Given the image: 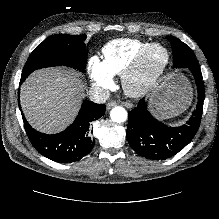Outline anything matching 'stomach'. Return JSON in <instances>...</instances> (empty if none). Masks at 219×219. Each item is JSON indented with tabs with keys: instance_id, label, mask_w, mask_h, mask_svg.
Masks as SVG:
<instances>
[{
	"instance_id": "stomach-1",
	"label": "stomach",
	"mask_w": 219,
	"mask_h": 219,
	"mask_svg": "<svg viewBox=\"0 0 219 219\" xmlns=\"http://www.w3.org/2000/svg\"><path fill=\"white\" fill-rule=\"evenodd\" d=\"M173 87H168L167 90H165L162 95L159 97V101H157L155 104L160 110L167 109V104L170 99L173 98L172 96V90Z\"/></svg>"
}]
</instances>
